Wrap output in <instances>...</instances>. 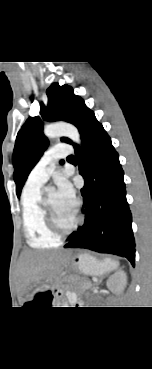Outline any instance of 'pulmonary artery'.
Segmentation results:
<instances>
[{
  "label": "pulmonary artery",
  "mask_w": 152,
  "mask_h": 369,
  "mask_svg": "<svg viewBox=\"0 0 152 369\" xmlns=\"http://www.w3.org/2000/svg\"><path fill=\"white\" fill-rule=\"evenodd\" d=\"M72 152L73 149L68 144H58L49 148L29 173L26 185L41 187L52 174L55 162L68 157Z\"/></svg>",
  "instance_id": "pulmonary-artery-1"
}]
</instances>
